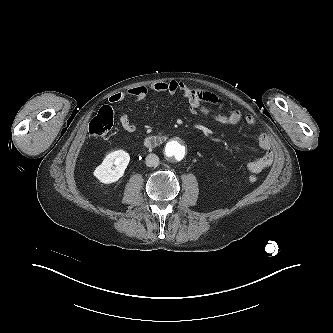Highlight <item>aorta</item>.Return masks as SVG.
I'll use <instances>...</instances> for the list:
<instances>
[{"label": "aorta", "mask_w": 333, "mask_h": 333, "mask_svg": "<svg viewBox=\"0 0 333 333\" xmlns=\"http://www.w3.org/2000/svg\"><path fill=\"white\" fill-rule=\"evenodd\" d=\"M165 155L170 159L181 160L185 155V148L180 142L171 141L165 147Z\"/></svg>", "instance_id": "aorta-1"}]
</instances>
